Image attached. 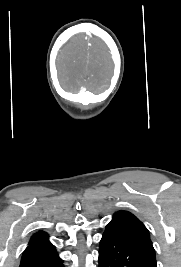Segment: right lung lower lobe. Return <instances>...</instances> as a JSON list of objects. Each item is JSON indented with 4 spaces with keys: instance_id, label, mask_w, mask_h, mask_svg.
<instances>
[{
    "instance_id": "right-lung-lower-lobe-1",
    "label": "right lung lower lobe",
    "mask_w": 181,
    "mask_h": 267,
    "mask_svg": "<svg viewBox=\"0 0 181 267\" xmlns=\"http://www.w3.org/2000/svg\"><path fill=\"white\" fill-rule=\"evenodd\" d=\"M19 267H64L55 248L27 247Z\"/></svg>"
}]
</instances>
